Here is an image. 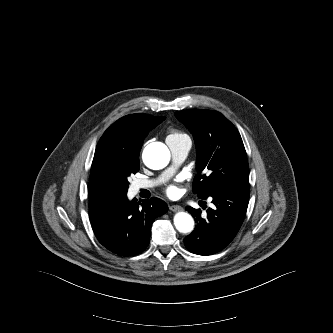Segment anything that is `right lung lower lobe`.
Instances as JSON below:
<instances>
[{
    "instance_id": "obj_1",
    "label": "right lung lower lobe",
    "mask_w": 333,
    "mask_h": 333,
    "mask_svg": "<svg viewBox=\"0 0 333 333\" xmlns=\"http://www.w3.org/2000/svg\"><path fill=\"white\" fill-rule=\"evenodd\" d=\"M90 220L98 241L122 256L142 252L149 243L154 219L167 212V204L153 197L137 202L127 196L91 200Z\"/></svg>"
}]
</instances>
